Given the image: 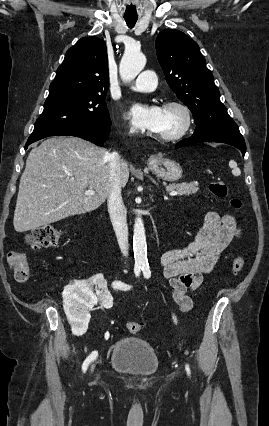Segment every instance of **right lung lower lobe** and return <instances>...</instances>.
<instances>
[{
	"label": "right lung lower lobe",
	"instance_id": "right-lung-lower-lobe-1",
	"mask_svg": "<svg viewBox=\"0 0 269 426\" xmlns=\"http://www.w3.org/2000/svg\"><path fill=\"white\" fill-rule=\"evenodd\" d=\"M110 126L111 123L107 126H97V125H88V124H83L74 128H71L69 130L66 131H60V132H56V133H51L48 134L46 136H43L41 138H38L36 140H29L27 141L26 145H25V149H27V147L35 142L38 141L42 138L48 137V136H76V137H80L83 138L85 140H88L92 143H95L96 145L99 146H103L109 132H110Z\"/></svg>",
	"mask_w": 269,
	"mask_h": 426
}]
</instances>
